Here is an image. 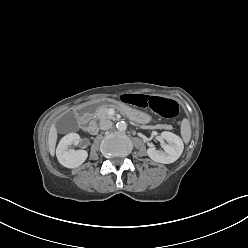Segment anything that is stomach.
<instances>
[{
  "mask_svg": "<svg viewBox=\"0 0 248 248\" xmlns=\"http://www.w3.org/2000/svg\"><path fill=\"white\" fill-rule=\"evenodd\" d=\"M100 110H113L115 109L122 116H128L133 122L138 123H149L151 121V116L149 114H144L132 107L124 106L121 101L114 100H102L100 102L93 101L84 107V112L86 114H92L94 111Z\"/></svg>",
  "mask_w": 248,
  "mask_h": 248,
  "instance_id": "stomach-1",
  "label": "stomach"
}]
</instances>
